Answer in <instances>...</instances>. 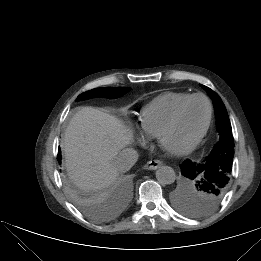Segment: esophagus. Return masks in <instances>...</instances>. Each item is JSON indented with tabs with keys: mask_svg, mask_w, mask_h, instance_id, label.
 Here are the masks:
<instances>
[{
	"mask_svg": "<svg viewBox=\"0 0 261 261\" xmlns=\"http://www.w3.org/2000/svg\"><path fill=\"white\" fill-rule=\"evenodd\" d=\"M162 165L160 160H150L147 164L144 165V169L146 170H156Z\"/></svg>",
	"mask_w": 261,
	"mask_h": 261,
	"instance_id": "34e87169",
	"label": "esophagus"
}]
</instances>
